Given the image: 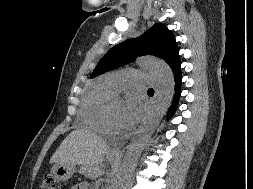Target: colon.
<instances>
[{
  "mask_svg": "<svg viewBox=\"0 0 253 189\" xmlns=\"http://www.w3.org/2000/svg\"><path fill=\"white\" fill-rule=\"evenodd\" d=\"M40 189H60V184L54 176L47 174L42 180Z\"/></svg>",
  "mask_w": 253,
  "mask_h": 189,
  "instance_id": "obj_1",
  "label": "colon"
}]
</instances>
